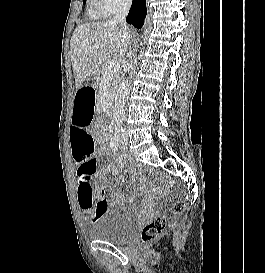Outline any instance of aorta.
I'll return each instance as SVG.
<instances>
[{
  "label": "aorta",
  "mask_w": 265,
  "mask_h": 273,
  "mask_svg": "<svg viewBox=\"0 0 265 273\" xmlns=\"http://www.w3.org/2000/svg\"><path fill=\"white\" fill-rule=\"evenodd\" d=\"M129 85L128 80H123L112 96L114 98L113 119L118 126H121L125 120V98L129 93Z\"/></svg>",
  "instance_id": "aorta-1"
}]
</instances>
